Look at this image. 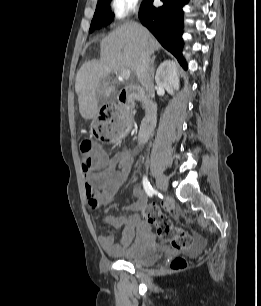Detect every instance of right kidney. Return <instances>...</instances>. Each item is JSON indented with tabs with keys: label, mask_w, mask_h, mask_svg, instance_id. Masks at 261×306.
<instances>
[{
	"label": "right kidney",
	"mask_w": 261,
	"mask_h": 306,
	"mask_svg": "<svg viewBox=\"0 0 261 306\" xmlns=\"http://www.w3.org/2000/svg\"><path fill=\"white\" fill-rule=\"evenodd\" d=\"M155 81L159 87L173 95L175 90L179 89V77L177 65L175 62L166 60L157 69Z\"/></svg>",
	"instance_id": "ca27d5eb"
}]
</instances>
